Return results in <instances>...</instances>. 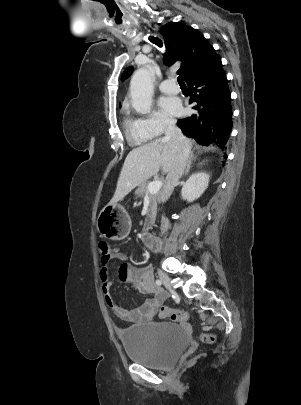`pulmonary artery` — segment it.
Segmentation results:
<instances>
[{"mask_svg": "<svg viewBox=\"0 0 301 405\" xmlns=\"http://www.w3.org/2000/svg\"><path fill=\"white\" fill-rule=\"evenodd\" d=\"M160 90L164 93L176 94L180 92V87L174 79H167L160 84Z\"/></svg>", "mask_w": 301, "mask_h": 405, "instance_id": "obj_1", "label": "pulmonary artery"}]
</instances>
